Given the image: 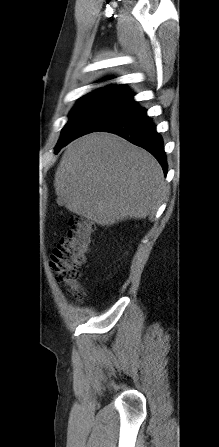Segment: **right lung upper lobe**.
Listing matches in <instances>:
<instances>
[{"label": "right lung upper lobe", "mask_w": 219, "mask_h": 447, "mask_svg": "<svg viewBox=\"0 0 219 447\" xmlns=\"http://www.w3.org/2000/svg\"><path fill=\"white\" fill-rule=\"evenodd\" d=\"M102 88L116 90V91H119L121 93H124V94H127V95L133 97V95L130 93V91L127 89V87H125L124 85H116L115 84V85H108V86H105Z\"/></svg>", "instance_id": "1"}]
</instances>
